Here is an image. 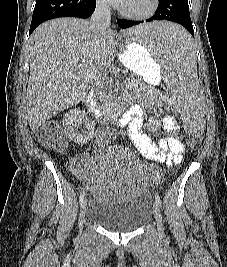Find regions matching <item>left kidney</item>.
<instances>
[{
	"instance_id": "5707ae66",
	"label": "left kidney",
	"mask_w": 227,
	"mask_h": 267,
	"mask_svg": "<svg viewBox=\"0 0 227 267\" xmlns=\"http://www.w3.org/2000/svg\"><path fill=\"white\" fill-rule=\"evenodd\" d=\"M149 126L151 127L153 131H156L158 127L160 126V122L158 120L150 119Z\"/></svg>"
}]
</instances>
